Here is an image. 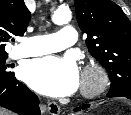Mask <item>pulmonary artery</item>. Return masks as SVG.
Returning <instances> with one entry per match:
<instances>
[{"label":"pulmonary artery","instance_id":"pulmonary-artery-1","mask_svg":"<svg viewBox=\"0 0 131 115\" xmlns=\"http://www.w3.org/2000/svg\"><path fill=\"white\" fill-rule=\"evenodd\" d=\"M77 40V32L72 26H65L60 31L49 35L26 37L14 50V58L39 56L56 52L73 45Z\"/></svg>","mask_w":131,"mask_h":115}]
</instances>
